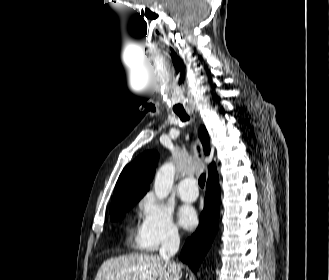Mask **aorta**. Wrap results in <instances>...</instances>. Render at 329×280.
I'll use <instances>...</instances> for the list:
<instances>
[{
	"label": "aorta",
	"instance_id": "1",
	"mask_svg": "<svg viewBox=\"0 0 329 280\" xmlns=\"http://www.w3.org/2000/svg\"><path fill=\"white\" fill-rule=\"evenodd\" d=\"M175 176V166L173 163H165L156 173L154 180V192L158 199L163 200L168 197Z\"/></svg>",
	"mask_w": 329,
	"mask_h": 280
}]
</instances>
